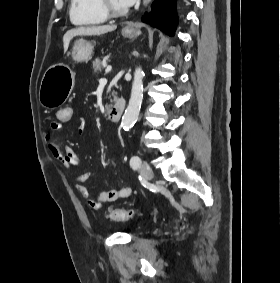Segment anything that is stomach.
<instances>
[{
    "label": "stomach",
    "mask_w": 280,
    "mask_h": 283,
    "mask_svg": "<svg viewBox=\"0 0 280 283\" xmlns=\"http://www.w3.org/2000/svg\"><path fill=\"white\" fill-rule=\"evenodd\" d=\"M126 38H135L141 31L132 26H126L121 31ZM94 45L84 39L76 40L72 57L77 62L88 61L93 53ZM75 84V72L64 63L50 66L44 73L40 89L39 102L47 109L61 106L71 94Z\"/></svg>",
    "instance_id": "obj_1"
}]
</instances>
